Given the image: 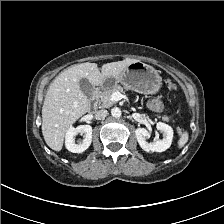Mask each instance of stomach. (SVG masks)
<instances>
[{
	"label": "stomach",
	"mask_w": 224,
	"mask_h": 224,
	"mask_svg": "<svg viewBox=\"0 0 224 224\" xmlns=\"http://www.w3.org/2000/svg\"><path fill=\"white\" fill-rule=\"evenodd\" d=\"M117 83L141 94H154L161 87V77L155 68L138 60L129 64L118 76L105 78L101 86L109 88Z\"/></svg>",
	"instance_id": "0dacf381"
}]
</instances>
